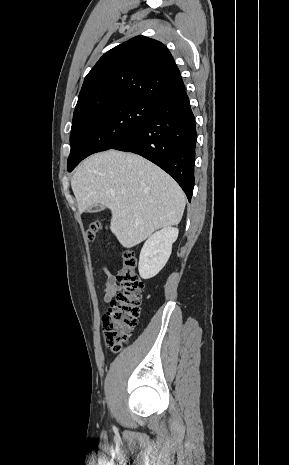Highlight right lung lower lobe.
Returning a JSON list of instances; mask_svg holds the SVG:
<instances>
[{
  "mask_svg": "<svg viewBox=\"0 0 289 465\" xmlns=\"http://www.w3.org/2000/svg\"><path fill=\"white\" fill-rule=\"evenodd\" d=\"M196 138L195 118L184 89L157 100L152 116L112 149L152 161L178 182L190 201Z\"/></svg>",
  "mask_w": 289,
  "mask_h": 465,
  "instance_id": "1",
  "label": "right lung lower lobe"
}]
</instances>
